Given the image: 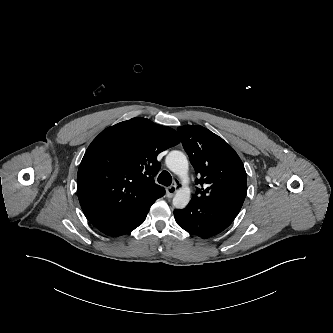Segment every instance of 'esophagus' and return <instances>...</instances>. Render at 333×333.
<instances>
[{
    "mask_svg": "<svg viewBox=\"0 0 333 333\" xmlns=\"http://www.w3.org/2000/svg\"><path fill=\"white\" fill-rule=\"evenodd\" d=\"M177 183L175 182L172 186L167 188L166 195L168 198H172L177 191Z\"/></svg>",
    "mask_w": 333,
    "mask_h": 333,
    "instance_id": "obj_1",
    "label": "esophagus"
}]
</instances>
